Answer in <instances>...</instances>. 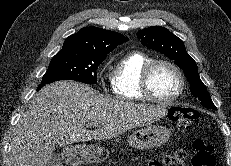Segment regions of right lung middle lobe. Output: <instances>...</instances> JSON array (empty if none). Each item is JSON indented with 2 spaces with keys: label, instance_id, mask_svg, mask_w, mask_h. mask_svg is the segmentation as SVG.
<instances>
[{
  "label": "right lung middle lobe",
  "instance_id": "dd1d6c3e",
  "mask_svg": "<svg viewBox=\"0 0 231 166\" xmlns=\"http://www.w3.org/2000/svg\"><path fill=\"white\" fill-rule=\"evenodd\" d=\"M106 56L85 55L73 51H59L42 77L43 84L59 80L97 83V69Z\"/></svg>",
  "mask_w": 231,
  "mask_h": 166
}]
</instances>
